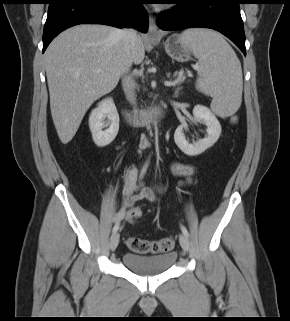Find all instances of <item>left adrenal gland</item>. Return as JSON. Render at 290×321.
Masks as SVG:
<instances>
[{"label": "left adrenal gland", "instance_id": "obj_1", "mask_svg": "<svg viewBox=\"0 0 290 321\" xmlns=\"http://www.w3.org/2000/svg\"><path fill=\"white\" fill-rule=\"evenodd\" d=\"M181 89H182L181 87H178V88L175 90V97L178 96V94H179V92H180Z\"/></svg>", "mask_w": 290, "mask_h": 321}]
</instances>
